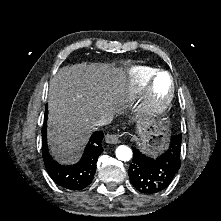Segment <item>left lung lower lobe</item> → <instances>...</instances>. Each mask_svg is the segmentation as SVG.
<instances>
[{
    "instance_id": "0a47b994",
    "label": "left lung lower lobe",
    "mask_w": 221,
    "mask_h": 221,
    "mask_svg": "<svg viewBox=\"0 0 221 221\" xmlns=\"http://www.w3.org/2000/svg\"><path fill=\"white\" fill-rule=\"evenodd\" d=\"M181 141L180 135L172 136L169 147L157 158L148 157L138 149L133 151L128 174L138 191L153 194L168 187L181 165Z\"/></svg>"
}]
</instances>
